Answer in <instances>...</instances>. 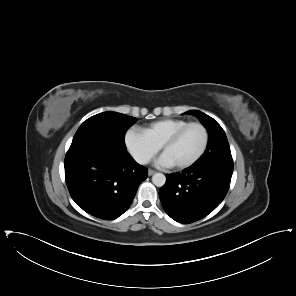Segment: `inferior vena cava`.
Masks as SVG:
<instances>
[{
	"label": "inferior vena cava",
	"instance_id": "602c4592",
	"mask_svg": "<svg viewBox=\"0 0 296 296\" xmlns=\"http://www.w3.org/2000/svg\"><path fill=\"white\" fill-rule=\"evenodd\" d=\"M133 158L136 160L137 163L139 164H148L150 161V156L144 154V153H135L133 155Z\"/></svg>",
	"mask_w": 296,
	"mask_h": 296
}]
</instances>
